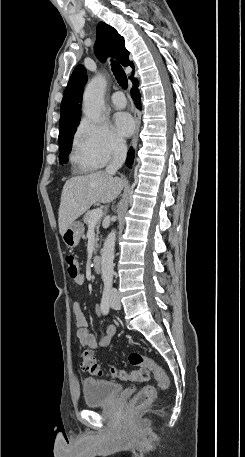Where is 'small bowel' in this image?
I'll return each mask as SVG.
<instances>
[{"instance_id":"1","label":"small bowel","mask_w":245,"mask_h":457,"mask_svg":"<svg viewBox=\"0 0 245 457\" xmlns=\"http://www.w3.org/2000/svg\"><path fill=\"white\" fill-rule=\"evenodd\" d=\"M84 279L85 276L82 273H79L75 278H73L77 284H82ZM72 310L74 322L77 328V338L82 346L91 349H104L110 346L116 332V329L113 325L108 326L106 328L105 334L98 339L93 333L89 331L88 322L83 314L79 302H75L73 304ZM95 312L97 315H100L102 312L101 306H97Z\"/></svg>"}]
</instances>
